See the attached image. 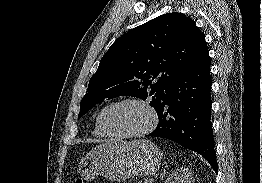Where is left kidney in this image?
Instances as JSON below:
<instances>
[{
  "label": "left kidney",
  "mask_w": 262,
  "mask_h": 183,
  "mask_svg": "<svg viewBox=\"0 0 262 183\" xmlns=\"http://www.w3.org/2000/svg\"><path fill=\"white\" fill-rule=\"evenodd\" d=\"M165 183H192V170L187 167L178 168L170 174Z\"/></svg>",
  "instance_id": "obj_1"
}]
</instances>
